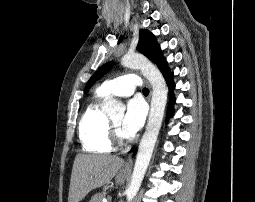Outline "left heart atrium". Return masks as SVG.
<instances>
[{
	"instance_id": "39dd6f15",
	"label": "left heart atrium",
	"mask_w": 255,
	"mask_h": 202,
	"mask_svg": "<svg viewBox=\"0 0 255 202\" xmlns=\"http://www.w3.org/2000/svg\"><path fill=\"white\" fill-rule=\"evenodd\" d=\"M146 106L140 99H132L126 107V114L122 121V130L126 137L134 136L144 125Z\"/></svg>"
}]
</instances>
